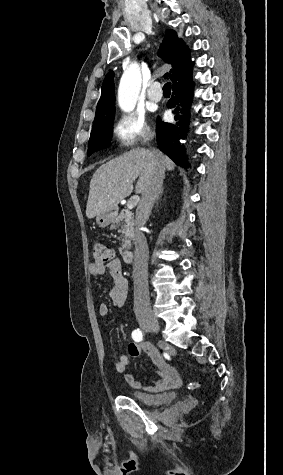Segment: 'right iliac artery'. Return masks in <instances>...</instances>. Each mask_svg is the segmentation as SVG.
<instances>
[{
    "instance_id": "obj_1",
    "label": "right iliac artery",
    "mask_w": 283,
    "mask_h": 475,
    "mask_svg": "<svg viewBox=\"0 0 283 475\" xmlns=\"http://www.w3.org/2000/svg\"><path fill=\"white\" fill-rule=\"evenodd\" d=\"M132 338L136 342L142 341L143 339V333L140 329H136L132 332Z\"/></svg>"
}]
</instances>
